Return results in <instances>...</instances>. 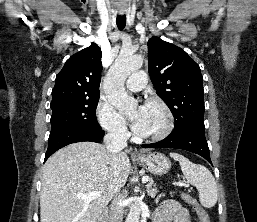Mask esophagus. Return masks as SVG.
I'll return each mask as SVG.
<instances>
[{
    "label": "esophagus",
    "mask_w": 257,
    "mask_h": 222,
    "mask_svg": "<svg viewBox=\"0 0 257 222\" xmlns=\"http://www.w3.org/2000/svg\"><path fill=\"white\" fill-rule=\"evenodd\" d=\"M120 14H124V12H120ZM134 156H139L140 154L137 151H134Z\"/></svg>",
    "instance_id": "obj_1"
}]
</instances>
